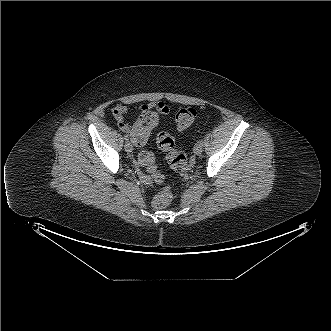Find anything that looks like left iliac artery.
Instances as JSON below:
<instances>
[{"label":"left iliac artery","mask_w":331,"mask_h":331,"mask_svg":"<svg viewBox=\"0 0 331 331\" xmlns=\"http://www.w3.org/2000/svg\"><path fill=\"white\" fill-rule=\"evenodd\" d=\"M199 143L203 145L204 142H203V140L201 139V140H199Z\"/></svg>","instance_id":"obj_1"}]
</instances>
